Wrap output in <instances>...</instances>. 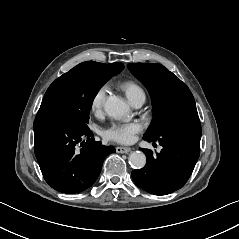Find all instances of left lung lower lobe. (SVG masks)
<instances>
[{
    "instance_id": "left-lung-lower-lobe-1",
    "label": "left lung lower lobe",
    "mask_w": 239,
    "mask_h": 239,
    "mask_svg": "<svg viewBox=\"0 0 239 239\" xmlns=\"http://www.w3.org/2000/svg\"><path fill=\"white\" fill-rule=\"evenodd\" d=\"M143 138L148 142L158 141L163 149L156 155L141 149L147 163L144 168L132 171L135 184L155 195H167L183 187L200 155V121L184 120L164 129L157 139Z\"/></svg>"
}]
</instances>
